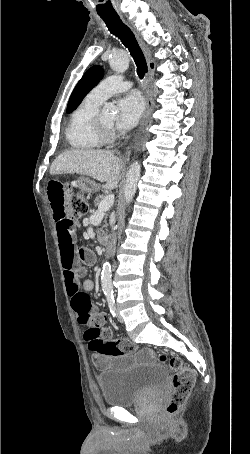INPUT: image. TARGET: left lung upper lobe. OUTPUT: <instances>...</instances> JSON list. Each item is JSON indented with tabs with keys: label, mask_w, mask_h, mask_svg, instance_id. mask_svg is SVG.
Segmentation results:
<instances>
[{
	"label": "left lung upper lobe",
	"mask_w": 250,
	"mask_h": 454,
	"mask_svg": "<svg viewBox=\"0 0 250 454\" xmlns=\"http://www.w3.org/2000/svg\"><path fill=\"white\" fill-rule=\"evenodd\" d=\"M102 76L103 69L100 66L91 67L83 75L70 96L67 105V113H70L77 108L86 94L99 83Z\"/></svg>",
	"instance_id": "left-lung-upper-lobe-1"
}]
</instances>
